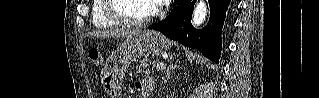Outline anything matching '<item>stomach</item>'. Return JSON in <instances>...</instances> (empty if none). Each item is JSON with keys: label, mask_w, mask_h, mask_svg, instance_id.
Here are the masks:
<instances>
[{"label": "stomach", "mask_w": 319, "mask_h": 98, "mask_svg": "<svg viewBox=\"0 0 319 98\" xmlns=\"http://www.w3.org/2000/svg\"><path fill=\"white\" fill-rule=\"evenodd\" d=\"M168 42L155 31H144L128 36L114 52L111 62L102 75L104 92L116 96L121 88L123 76L131 62L141 57H155L167 51Z\"/></svg>", "instance_id": "obj_1"}]
</instances>
